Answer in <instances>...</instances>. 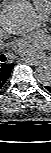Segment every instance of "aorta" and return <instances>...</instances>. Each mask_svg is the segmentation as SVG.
Instances as JSON below:
<instances>
[{
	"label": "aorta",
	"instance_id": "aorta-1",
	"mask_svg": "<svg viewBox=\"0 0 51 153\" xmlns=\"http://www.w3.org/2000/svg\"><path fill=\"white\" fill-rule=\"evenodd\" d=\"M2 25L10 34H30L38 25L36 11L26 0L15 1L4 9L2 13ZM35 77L42 85L49 86L51 84L50 64L40 65L35 71Z\"/></svg>",
	"mask_w": 51,
	"mask_h": 153
}]
</instances>
